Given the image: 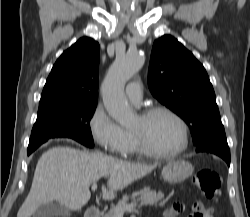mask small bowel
Masks as SVG:
<instances>
[{"label": "small bowel", "instance_id": "small-bowel-1", "mask_svg": "<svg viewBox=\"0 0 250 217\" xmlns=\"http://www.w3.org/2000/svg\"><path fill=\"white\" fill-rule=\"evenodd\" d=\"M182 212L180 204H172L164 211V217H177ZM204 217H213L210 211H207Z\"/></svg>", "mask_w": 250, "mask_h": 217}]
</instances>
